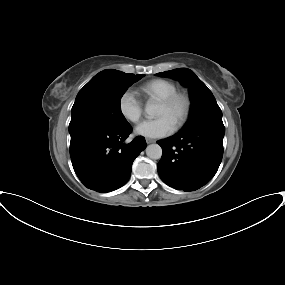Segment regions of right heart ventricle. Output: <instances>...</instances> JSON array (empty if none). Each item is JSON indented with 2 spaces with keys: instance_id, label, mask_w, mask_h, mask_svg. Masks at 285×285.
<instances>
[{
  "instance_id": "obj_1",
  "label": "right heart ventricle",
  "mask_w": 285,
  "mask_h": 285,
  "mask_svg": "<svg viewBox=\"0 0 285 285\" xmlns=\"http://www.w3.org/2000/svg\"><path fill=\"white\" fill-rule=\"evenodd\" d=\"M177 90V85L168 79L158 78L150 80L139 87V92L148 99L158 101Z\"/></svg>"
}]
</instances>
